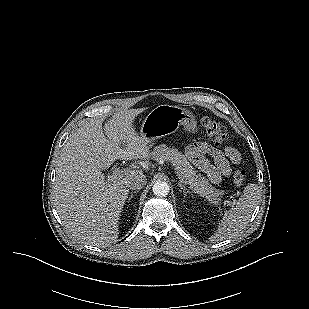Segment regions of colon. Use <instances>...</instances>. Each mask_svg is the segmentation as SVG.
<instances>
[{
    "instance_id": "5ec220e1",
    "label": "colon",
    "mask_w": 309,
    "mask_h": 309,
    "mask_svg": "<svg viewBox=\"0 0 309 309\" xmlns=\"http://www.w3.org/2000/svg\"><path fill=\"white\" fill-rule=\"evenodd\" d=\"M202 126L208 135V137L217 144H223L228 139V134L226 128L217 121L210 118H204L202 120ZM247 176L245 169H237L233 175V181L236 185H241L244 183Z\"/></svg>"
}]
</instances>
